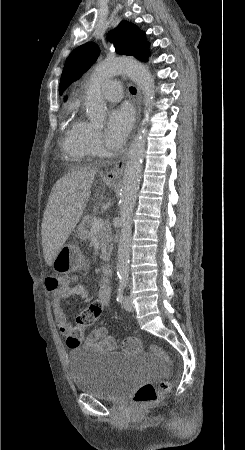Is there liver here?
<instances>
[{"mask_svg": "<svg viewBox=\"0 0 245 450\" xmlns=\"http://www.w3.org/2000/svg\"><path fill=\"white\" fill-rule=\"evenodd\" d=\"M95 174L96 170L92 168L73 169L53 185L41 230L43 253L48 266L52 265L83 215Z\"/></svg>", "mask_w": 245, "mask_h": 450, "instance_id": "1", "label": "liver"}]
</instances>
